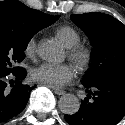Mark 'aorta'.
<instances>
[{
	"label": "aorta",
	"instance_id": "762f6f07",
	"mask_svg": "<svg viewBox=\"0 0 125 125\" xmlns=\"http://www.w3.org/2000/svg\"><path fill=\"white\" fill-rule=\"evenodd\" d=\"M37 53L47 62H59L63 58L61 48L53 41H43L38 45ZM59 108L62 113L72 115L80 108L79 99L73 94L63 95L59 100Z\"/></svg>",
	"mask_w": 125,
	"mask_h": 125
}]
</instances>
